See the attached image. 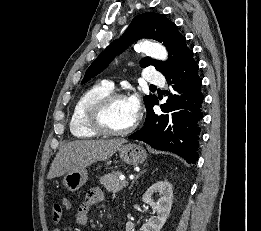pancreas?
I'll return each instance as SVG.
<instances>
[{
    "instance_id": "obj_1",
    "label": "pancreas",
    "mask_w": 261,
    "mask_h": 231,
    "mask_svg": "<svg viewBox=\"0 0 261 231\" xmlns=\"http://www.w3.org/2000/svg\"><path fill=\"white\" fill-rule=\"evenodd\" d=\"M122 173L119 171L111 172L100 177V183L106 188L107 191L112 192L113 194L121 191L124 186L123 181L119 179V176Z\"/></svg>"
}]
</instances>
